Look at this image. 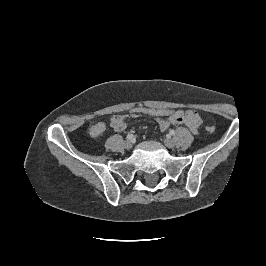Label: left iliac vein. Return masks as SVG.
<instances>
[{
	"label": "left iliac vein",
	"instance_id": "left-iliac-vein-1",
	"mask_svg": "<svg viewBox=\"0 0 266 266\" xmlns=\"http://www.w3.org/2000/svg\"><path fill=\"white\" fill-rule=\"evenodd\" d=\"M164 144L168 147V148H174L175 147V141L170 138V137H167L164 139Z\"/></svg>",
	"mask_w": 266,
	"mask_h": 266
}]
</instances>
